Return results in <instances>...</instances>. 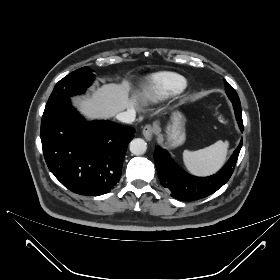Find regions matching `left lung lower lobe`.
Segmentation results:
<instances>
[{"instance_id": "obj_1", "label": "left lung lower lobe", "mask_w": 280, "mask_h": 280, "mask_svg": "<svg viewBox=\"0 0 280 280\" xmlns=\"http://www.w3.org/2000/svg\"><path fill=\"white\" fill-rule=\"evenodd\" d=\"M240 130L243 132L241 104L232 102ZM243 140L224 167L216 174L209 177L191 176L181 169L170 158L164 149L156 147L154 161L161 184L171 190V196L180 201H192L207 197L221 188L231 177Z\"/></svg>"}]
</instances>
